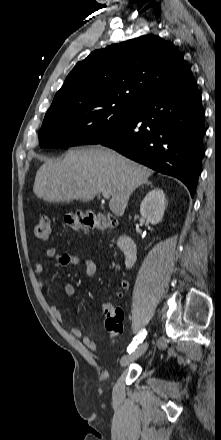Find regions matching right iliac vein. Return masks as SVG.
<instances>
[{
    "instance_id": "1",
    "label": "right iliac vein",
    "mask_w": 221,
    "mask_h": 440,
    "mask_svg": "<svg viewBox=\"0 0 221 440\" xmlns=\"http://www.w3.org/2000/svg\"><path fill=\"white\" fill-rule=\"evenodd\" d=\"M148 348V343H143L140 346H138L134 352H132L129 355H126L124 357L121 358L120 360V364L122 366H126L129 363L133 362L134 360L138 359L140 356H142L144 354V352L147 350Z\"/></svg>"
}]
</instances>
